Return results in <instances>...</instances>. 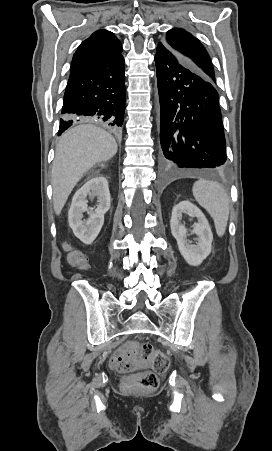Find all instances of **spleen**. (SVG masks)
Masks as SVG:
<instances>
[{"instance_id": "1", "label": "spleen", "mask_w": 272, "mask_h": 451, "mask_svg": "<svg viewBox=\"0 0 272 451\" xmlns=\"http://www.w3.org/2000/svg\"><path fill=\"white\" fill-rule=\"evenodd\" d=\"M192 192L198 204L205 208L213 218L216 233L224 235L229 218V202L224 188L218 182L198 180L195 182Z\"/></svg>"}]
</instances>
